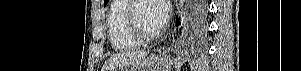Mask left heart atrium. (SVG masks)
Masks as SVG:
<instances>
[{"label": "left heart atrium", "instance_id": "obj_1", "mask_svg": "<svg viewBox=\"0 0 301 71\" xmlns=\"http://www.w3.org/2000/svg\"><path fill=\"white\" fill-rule=\"evenodd\" d=\"M150 2L152 3L157 27L160 30L164 28L168 21L171 11L170 4L167 0H151Z\"/></svg>", "mask_w": 301, "mask_h": 71}]
</instances>
